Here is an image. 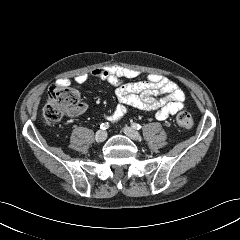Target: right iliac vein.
Returning <instances> with one entry per match:
<instances>
[{"mask_svg": "<svg viewBox=\"0 0 240 240\" xmlns=\"http://www.w3.org/2000/svg\"><path fill=\"white\" fill-rule=\"evenodd\" d=\"M107 138V132L104 130H99L97 131L96 135H95V139L98 142H103L105 141Z\"/></svg>", "mask_w": 240, "mask_h": 240, "instance_id": "right-iliac-vein-1", "label": "right iliac vein"}]
</instances>
